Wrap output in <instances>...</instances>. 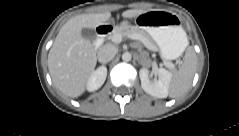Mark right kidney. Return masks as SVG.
I'll list each match as a JSON object with an SVG mask.
<instances>
[{"label":"right kidney","mask_w":239,"mask_h":136,"mask_svg":"<svg viewBox=\"0 0 239 136\" xmlns=\"http://www.w3.org/2000/svg\"><path fill=\"white\" fill-rule=\"evenodd\" d=\"M106 77L107 68L104 66H101L97 70L93 71L86 84L87 90L90 92L98 90L104 84Z\"/></svg>","instance_id":"ca27d5eb"}]
</instances>
